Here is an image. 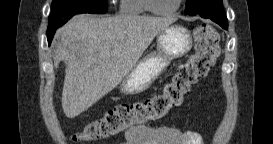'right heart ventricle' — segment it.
I'll use <instances>...</instances> for the list:
<instances>
[{
  "label": "right heart ventricle",
  "instance_id": "1",
  "mask_svg": "<svg viewBox=\"0 0 273 144\" xmlns=\"http://www.w3.org/2000/svg\"><path fill=\"white\" fill-rule=\"evenodd\" d=\"M146 0H122L120 11L123 15L138 16L146 11Z\"/></svg>",
  "mask_w": 273,
  "mask_h": 144
}]
</instances>
